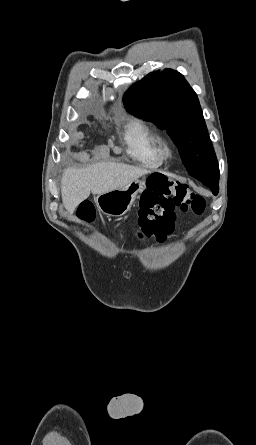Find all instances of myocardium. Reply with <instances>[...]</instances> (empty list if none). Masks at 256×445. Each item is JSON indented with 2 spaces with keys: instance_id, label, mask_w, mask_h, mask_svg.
Returning a JSON list of instances; mask_svg holds the SVG:
<instances>
[{
  "instance_id": "myocardium-1",
  "label": "myocardium",
  "mask_w": 256,
  "mask_h": 445,
  "mask_svg": "<svg viewBox=\"0 0 256 445\" xmlns=\"http://www.w3.org/2000/svg\"><path fill=\"white\" fill-rule=\"evenodd\" d=\"M161 154L163 158H170L173 155V148L169 142H161Z\"/></svg>"
}]
</instances>
